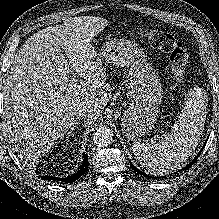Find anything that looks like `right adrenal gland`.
Wrapping results in <instances>:
<instances>
[{
    "label": "right adrenal gland",
    "mask_w": 219,
    "mask_h": 219,
    "mask_svg": "<svg viewBox=\"0 0 219 219\" xmlns=\"http://www.w3.org/2000/svg\"><path fill=\"white\" fill-rule=\"evenodd\" d=\"M80 124L79 121H76L75 124L72 126L69 132H67V138L74 135V131L78 128V125ZM68 140V139H67Z\"/></svg>",
    "instance_id": "2a0ac1e0"
}]
</instances>
